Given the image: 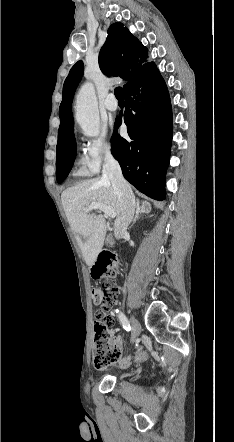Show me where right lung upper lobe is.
<instances>
[{
	"instance_id": "cb5924a9",
	"label": "right lung upper lobe",
	"mask_w": 234,
	"mask_h": 442,
	"mask_svg": "<svg viewBox=\"0 0 234 442\" xmlns=\"http://www.w3.org/2000/svg\"><path fill=\"white\" fill-rule=\"evenodd\" d=\"M148 50L122 23H114L108 29L107 39L99 53V66L105 75L120 76L127 84L150 70L154 63L146 62ZM83 75V63L78 61L70 70L64 85L59 108L60 127L57 148L74 134L71 105L75 89Z\"/></svg>"
}]
</instances>
